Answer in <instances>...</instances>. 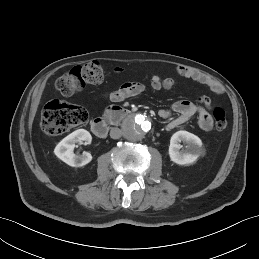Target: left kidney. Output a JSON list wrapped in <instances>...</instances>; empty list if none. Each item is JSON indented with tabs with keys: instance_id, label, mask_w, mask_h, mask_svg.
<instances>
[{
	"instance_id": "1",
	"label": "left kidney",
	"mask_w": 259,
	"mask_h": 259,
	"mask_svg": "<svg viewBox=\"0 0 259 259\" xmlns=\"http://www.w3.org/2000/svg\"><path fill=\"white\" fill-rule=\"evenodd\" d=\"M181 141L185 142V150L182 148ZM202 141L196 135L187 131L174 133L170 140L169 156L171 161L179 165H189L194 163L201 154Z\"/></svg>"
}]
</instances>
